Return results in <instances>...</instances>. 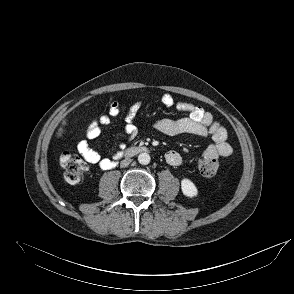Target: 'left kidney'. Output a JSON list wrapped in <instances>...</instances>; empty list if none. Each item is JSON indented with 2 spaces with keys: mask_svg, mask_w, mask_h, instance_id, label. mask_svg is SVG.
<instances>
[{
  "mask_svg": "<svg viewBox=\"0 0 294 294\" xmlns=\"http://www.w3.org/2000/svg\"><path fill=\"white\" fill-rule=\"evenodd\" d=\"M181 189L185 196L187 197H195L198 194V190L195 184L189 179H182L181 181Z\"/></svg>",
  "mask_w": 294,
  "mask_h": 294,
  "instance_id": "1",
  "label": "left kidney"
}]
</instances>
